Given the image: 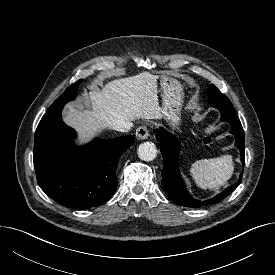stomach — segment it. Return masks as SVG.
Here are the masks:
<instances>
[{"label": "stomach", "mask_w": 275, "mask_h": 275, "mask_svg": "<svg viewBox=\"0 0 275 275\" xmlns=\"http://www.w3.org/2000/svg\"><path fill=\"white\" fill-rule=\"evenodd\" d=\"M160 82L163 118L174 129L179 130L184 97L183 87L175 77L170 75H163Z\"/></svg>", "instance_id": "0dacf381"}]
</instances>
